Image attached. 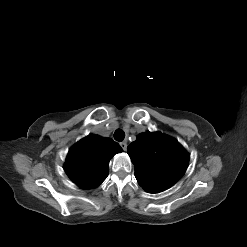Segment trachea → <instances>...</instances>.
Returning a JSON list of instances; mask_svg holds the SVG:
<instances>
[{"instance_id": "1", "label": "trachea", "mask_w": 247, "mask_h": 247, "mask_svg": "<svg viewBox=\"0 0 247 247\" xmlns=\"http://www.w3.org/2000/svg\"><path fill=\"white\" fill-rule=\"evenodd\" d=\"M124 138H125V133H124L123 130L118 129V130H116V131L114 132V139H115L116 141H119V142H120V141H123Z\"/></svg>"}]
</instances>
